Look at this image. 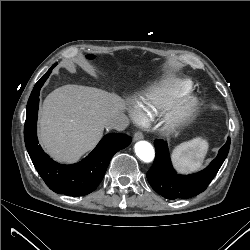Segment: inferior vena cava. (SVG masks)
Masks as SVG:
<instances>
[{
	"label": "inferior vena cava",
	"mask_w": 250,
	"mask_h": 250,
	"mask_svg": "<svg viewBox=\"0 0 250 250\" xmlns=\"http://www.w3.org/2000/svg\"><path fill=\"white\" fill-rule=\"evenodd\" d=\"M129 125V119L123 114H116L105 122V128L122 131Z\"/></svg>",
	"instance_id": "1"
}]
</instances>
